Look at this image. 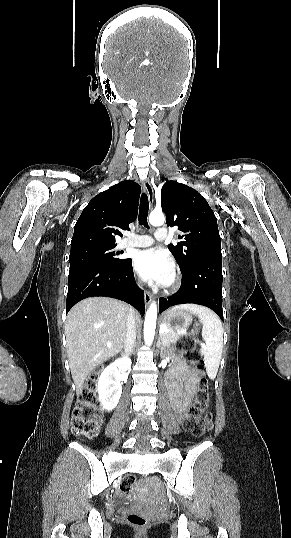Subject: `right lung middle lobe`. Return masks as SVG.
Wrapping results in <instances>:
<instances>
[{"mask_svg": "<svg viewBox=\"0 0 291 538\" xmlns=\"http://www.w3.org/2000/svg\"><path fill=\"white\" fill-rule=\"evenodd\" d=\"M115 247L116 245H89L71 249L70 267L94 263L117 265L125 262L127 259L119 258V252L113 250Z\"/></svg>", "mask_w": 291, "mask_h": 538, "instance_id": "obj_1", "label": "right lung middle lobe"}]
</instances>
